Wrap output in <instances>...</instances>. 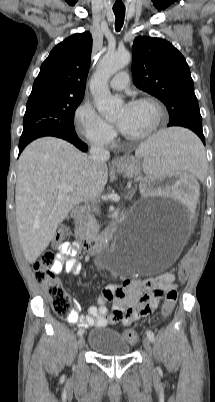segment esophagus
Returning <instances> with one entry per match:
<instances>
[{"instance_id":"obj_1","label":"esophagus","mask_w":215,"mask_h":402,"mask_svg":"<svg viewBox=\"0 0 215 402\" xmlns=\"http://www.w3.org/2000/svg\"><path fill=\"white\" fill-rule=\"evenodd\" d=\"M121 162H122L121 158L118 157V156H116V157H114V158L112 159L111 165H112L113 167H118V166L121 165Z\"/></svg>"}]
</instances>
